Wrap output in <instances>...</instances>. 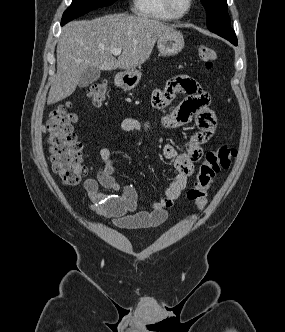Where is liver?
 <instances>
[{"instance_id": "liver-1", "label": "liver", "mask_w": 285, "mask_h": 332, "mask_svg": "<svg viewBox=\"0 0 285 332\" xmlns=\"http://www.w3.org/2000/svg\"><path fill=\"white\" fill-rule=\"evenodd\" d=\"M172 31L160 21L125 14L66 24L57 44V74L47 104L73 94L89 67L103 71L135 69L150 57L156 41ZM114 48L122 50L118 59L110 51Z\"/></svg>"}]
</instances>
